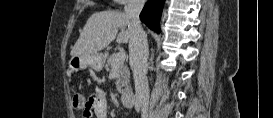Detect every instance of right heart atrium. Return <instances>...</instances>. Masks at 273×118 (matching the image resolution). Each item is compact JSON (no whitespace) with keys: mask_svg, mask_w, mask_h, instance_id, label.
I'll list each match as a JSON object with an SVG mask.
<instances>
[{"mask_svg":"<svg viewBox=\"0 0 273 118\" xmlns=\"http://www.w3.org/2000/svg\"><path fill=\"white\" fill-rule=\"evenodd\" d=\"M119 2H120L121 4H127V3H129L130 1H129V0H119Z\"/></svg>","mask_w":273,"mask_h":118,"instance_id":"right-heart-atrium-1","label":"right heart atrium"}]
</instances>
